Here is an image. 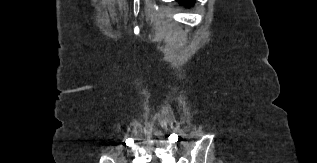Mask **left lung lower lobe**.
I'll use <instances>...</instances> for the list:
<instances>
[{
	"label": "left lung lower lobe",
	"mask_w": 317,
	"mask_h": 163,
	"mask_svg": "<svg viewBox=\"0 0 317 163\" xmlns=\"http://www.w3.org/2000/svg\"><path fill=\"white\" fill-rule=\"evenodd\" d=\"M181 5L191 6L195 0H177Z\"/></svg>",
	"instance_id": "1"
}]
</instances>
